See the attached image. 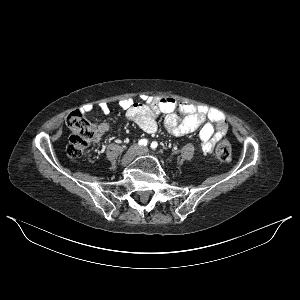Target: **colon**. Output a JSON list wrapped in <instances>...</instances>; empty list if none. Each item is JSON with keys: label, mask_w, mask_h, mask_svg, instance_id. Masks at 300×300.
<instances>
[{"label": "colon", "mask_w": 300, "mask_h": 300, "mask_svg": "<svg viewBox=\"0 0 300 300\" xmlns=\"http://www.w3.org/2000/svg\"><path fill=\"white\" fill-rule=\"evenodd\" d=\"M66 125L72 134L67 146V154L72 159H78L85 155L88 147L95 136L94 126L78 110L71 112L66 117ZM216 127L224 128L222 120L216 121ZM231 145L228 141H220L216 147V155L222 161H228L231 158Z\"/></svg>", "instance_id": "5ec220e1"}]
</instances>
